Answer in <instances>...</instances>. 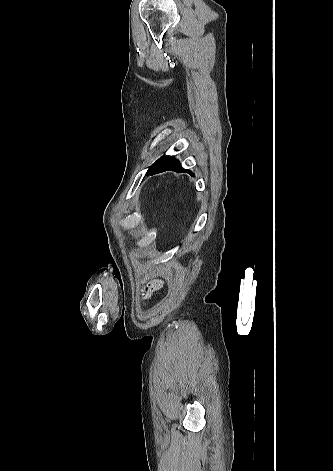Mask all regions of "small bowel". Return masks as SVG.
Masks as SVG:
<instances>
[{
  "mask_svg": "<svg viewBox=\"0 0 333 471\" xmlns=\"http://www.w3.org/2000/svg\"><path fill=\"white\" fill-rule=\"evenodd\" d=\"M164 285L163 280L159 278L148 279L142 288V300H148L152 294L161 289Z\"/></svg>",
  "mask_w": 333,
  "mask_h": 471,
  "instance_id": "1",
  "label": "small bowel"
}]
</instances>
